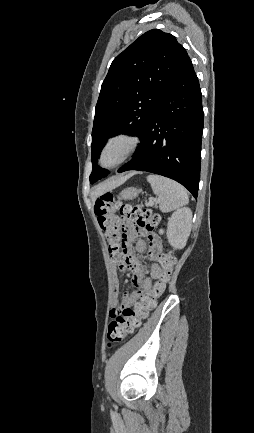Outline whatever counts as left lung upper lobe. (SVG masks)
<instances>
[{
  "label": "left lung upper lobe",
  "mask_w": 254,
  "mask_h": 433,
  "mask_svg": "<svg viewBox=\"0 0 254 433\" xmlns=\"http://www.w3.org/2000/svg\"><path fill=\"white\" fill-rule=\"evenodd\" d=\"M186 57L173 35L152 29L113 60L95 109L90 183L109 174L97 164L107 139L120 133L142 136Z\"/></svg>",
  "instance_id": "1"
}]
</instances>
